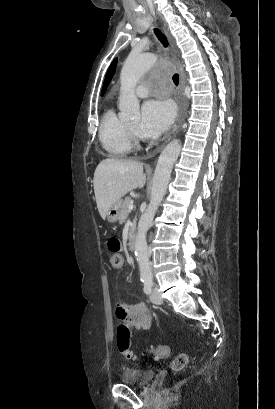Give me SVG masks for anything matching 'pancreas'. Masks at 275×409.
Segmentation results:
<instances>
[{"label": "pancreas", "mask_w": 275, "mask_h": 409, "mask_svg": "<svg viewBox=\"0 0 275 409\" xmlns=\"http://www.w3.org/2000/svg\"><path fill=\"white\" fill-rule=\"evenodd\" d=\"M131 202H132L131 196H126L125 200H123V202H122V209H121V213L119 215L120 225H122V223H125V221L127 219V215L129 213L128 207H129V205H131ZM135 225H136V219H134L133 227H131L130 231H134Z\"/></svg>", "instance_id": "1"}]
</instances>
